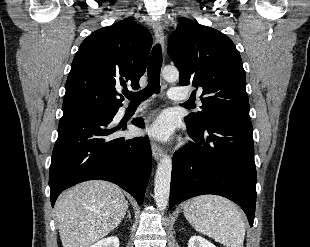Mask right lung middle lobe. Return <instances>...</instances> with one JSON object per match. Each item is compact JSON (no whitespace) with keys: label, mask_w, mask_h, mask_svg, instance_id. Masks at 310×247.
Returning <instances> with one entry per match:
<instances>
[{"label":"right lung middle lobe","mask_w":310,"mask_h":247,"mask_svg":"<svg viewBox=\"0 0 310 247\" xmlns=\"http://www.w3.org/2000/svg\"><path fill=\"white\" fill-rule=\"evenodd\" d=\"M100 111H107V110H100V109H77L70 111L68 113H63V115H73V114H82V113H91V112H100Z\"/></svg>","instance_id":"dd1d6c3e"}]
</instances>
